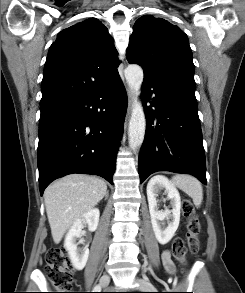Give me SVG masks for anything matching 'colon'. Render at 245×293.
<instances>
[{
  "mask_svg": "<svg viewBox=\"0 0 245 293\" xmlns=\"http://www.w3.org/2000/svg\"><path fill=\"white\" fill-rule=\"evenodd\" d=\"M181 207L187 223V243L190 251L196 253L199 249V234L201 231L200 222L195 214L194 207L189 200H184ZM172 251L177 260H185L186 248L183 238L178 237L173 241ZM45 272L56 288L62 291H67L71 287L73 283V272L65 249L52 248L47 252Z\"/></svg>",
  "mask_w": 245,
  "mask_h": 293,
  "instance_id": "5ec220e1",
  "label": "colon"
}]
</instances>
